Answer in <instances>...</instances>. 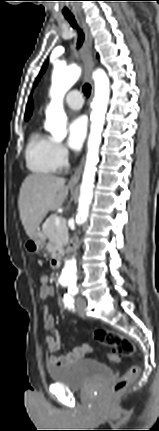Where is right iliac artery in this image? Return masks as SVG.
Returning <instances> with one entry per match:
<instances>
[{"instance_id": "right-iliac-artery-1", "label": "right iliac artery", "mask_w": 159, "mask_h": 431, "mask_svg": "<svg viewBox=\"0 0 159 431\" xmlns=\"http://www.w3.org/2000/svg\"><path fill=\"white\" fill-rule=\"evenodd\" d=\"M74 289V285H70L69 292H71Z\"/></svg>"}]
</instances>
